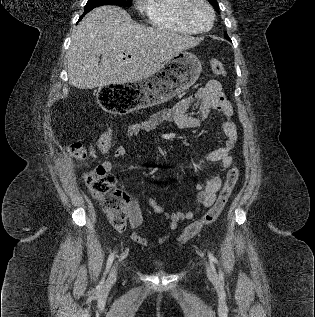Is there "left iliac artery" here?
I'll return each instance as SVG.
<instances>
[{"label":"left iliac artery","mask_w":315,"mask_h":317,"mask_svg":"<svg viewBox=\"0 0 315 317\" xmlns=\"http://www.w3.org/2000/svg\"><path fill=\"white\" fill-rule=\"evenodd\" d=\"M208 257H209V261L211 263V266L213 267V262L218 264L217 259L213 256V254L211 252H208ZM219 276L222 278L223 277V273L221 272V270L219 271Z\"/></svg>","instance_id":"obj_1"}]
</instances>
